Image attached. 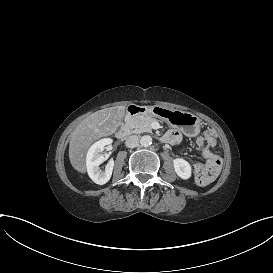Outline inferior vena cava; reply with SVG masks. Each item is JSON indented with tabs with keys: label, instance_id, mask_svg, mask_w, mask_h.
I'll use <instances>...</instances> for the list:
<instances>
[{
	"label": "inferior vena cava",
	"instance_id": "1",
	"mask_svg": "<svg viewBox=\"0 0 273 273\" xmlns=\"http://www.w3.org/2000/svg\"><path fill=\"white\" fill-rule=\"evenodd\" d=\"M125 145L128 148H135L139 145V138L137 135H131L125 141Z\"/></svg>",
	"mask_w": 273,
	"mask_h": 273
}]
</instances>
